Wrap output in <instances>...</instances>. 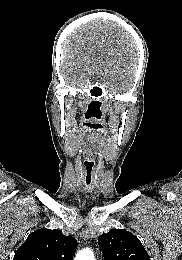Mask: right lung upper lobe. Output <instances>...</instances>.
I'll list each match as a JSON object with an SVG mask.
<instances>
[{
  "label": "right lung upper lobe",
  "mask_w": 182,
  "mask_h": 260,
  "mask_svg": "<svg viewBox=\"0 0 182 260\" xmlns=\"http://www.w3.org/2000/svg\"><path fill=\"white\" fill-rule=\"evenodd\" d=\"M77 241L59 230L32 232L18 248L13 260H73Z\"/></svg>",
  "instance_id": "obj_1"
}]
</instances>
